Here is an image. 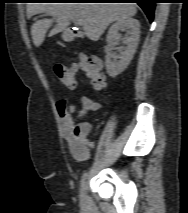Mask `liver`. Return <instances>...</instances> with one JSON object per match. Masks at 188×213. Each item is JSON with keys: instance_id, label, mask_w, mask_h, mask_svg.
<instances>
[{"instance_id": "obj_1", "label": "liver", "mask_w": 188, "mask_h": 213, "mask_svg": "<svg viewBox=\"0 0 188 213\" xmlns=\"http://www.w3.org/2000/svg\"><path fill=\"white\" fill-rule=\"evenodd\" d=\"M38 13H46L53 19H41L32 25L31 35L36 47L44 42L54 23L49 37L66 30L71 21L80 18L86 36L97 41L109 24L134 16L137 9L135 3H28L27 17Z\"/></svg>"}]
</instances>
